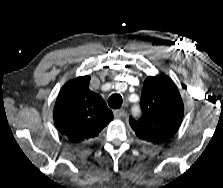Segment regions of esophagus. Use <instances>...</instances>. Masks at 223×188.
Returning <instances> with one entry per match:
<instances>
[{"label": "esophagus", "mask_w": 223, "mask_h": 188, "mask_svg": "<svg viewBox=\"0 0 223 188\" xmlns=\"http://www.w3.org/2000/svg\"><path fill=\"white\" fill-rule=\"evenodd\" d=\"M113 113L116 118H121L125 114V111L124 109H117V110H114Z\"/></svg>", "instance_id": "34e87169"}]
</instances>
